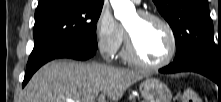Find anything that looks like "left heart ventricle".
<instances>
[{
    "mask_svg": "<svg viewBox=\"0 0 221 102\" xmlns=\"http://www.w3.org/2000/svg\"><path fill=\"white\" fill-rule=\"evenodd\" d=\"M126 29L143 60L157 63L167 56L170 39L164 27L158 22L143 20L137 14L126 24Z\"/></svg>",
    "mask_w": 221,
    "mask_h": 102,
    "instance_id": "1",
    "label": "left heart ventricle"
}]
</instances>
